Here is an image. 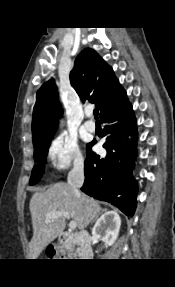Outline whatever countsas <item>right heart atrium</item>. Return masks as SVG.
I'll use <instances>...</instances> for the list:
<instances>
[{"instance_id":"1","label":"right heart atrium","mask_w":175,"mask_h":287,"mask_svg":"<svg viewBox=\"0 0 175 287\" xmlns=\"http://www.w3.org/2000/svg\"><path fill=\"white\" fill-rule=\"evenodd\" d=\"M47 156L51 166L57 171L67 170L71 166H83V157L76 139L64 133L52 139Z\"/></svg>"}]
</instances>
